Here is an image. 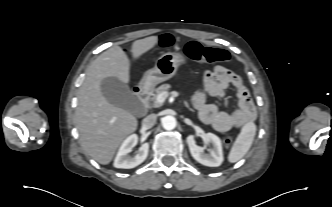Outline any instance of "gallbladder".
I'll list each match as a JSON object with an SVG mask.
<instances>
[{
  "label": "gallbladder",
  "instance_id": "1",
  "mask_svg": "<svg viewBox=\"0 0 332 207\" xmlns=\"http://www.w3.org/2000/svg\"><path fill=\"white\" fill-rule=\"evenodd\" d=\"M101 92L104 98L116 107L138 114L142 106L128 85L115 77L104 78L101 81Z\"/></svg>",
  "mask_w": 332,
  "mask_h": 207
}]
</instances>
